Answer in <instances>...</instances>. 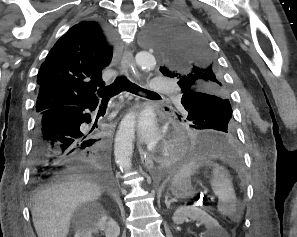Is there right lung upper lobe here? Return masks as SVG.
<instances>
[{
	"instance_id": "cb5924a9",
	"label": "right lung upper lobe",
	"mask_w": 297,
	"mask_h": 237,
	"mask_svg": "<svg viewBox=\"0 0 297 237\" xmlns=\"http://www.w3.org/2000/svg\"><path fill=\"white\" fill-rule=\"evenodd\" d=\"M112 40L96 21H83L62 36L42 63L37 83V115L56 107L98 102L95 91L105 83L102 70L112 59Z\"/></svg>"
}]
</instances>
